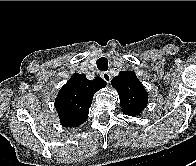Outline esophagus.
<instances>
[{
    "instance_id": "obj_1",
    "label": "esophagus",
    "mask_w": 196,
    "mask_h": 166,
    "mask_svg": "<svg viewBox=\"0 0 196 166\" xmlns=\"http://www.w3.org/2000/svg\"><path fill=\"white\" fill-rule=\"evenodd\" d=\"M101 76H102V78L105 80V82L106 83H110V81H111V76H110V74H109V72H103L102 74H101Z\"/></svg>"
}]
</instances>
